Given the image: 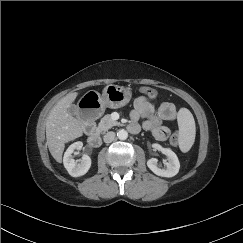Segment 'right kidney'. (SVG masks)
Returning <instances> with one entry per match:
<instances>
[{"label":"right kidney","instance_id":"1","mask_svg":"<svg viewBox=\"0 0 243 243\" xmlns=\"http://www.w3.org/2000/svg\"><path fill=\"white\" fill-rule=\"evenodd\" d=\"M83 143L78 141L71 144L66 150L63 158L64 167L72 177H80L85 175L91 167V158L88 155H83L80 163L74 160V150H81Z\"/></svg>","mask_w":243,"mask_h":243}]
</instances>
